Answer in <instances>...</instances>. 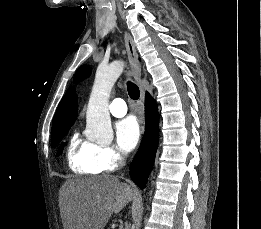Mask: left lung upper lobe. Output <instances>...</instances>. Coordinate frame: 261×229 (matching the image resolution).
Wrapping results in <instances>:
<instances>
[{
  "instance_id": "left-lung-upper-lobe-1",
  "label": "left lung upper lobe",
  "mask_w": 261,
  "mask_h": 229,
  "mask_svg": "<svg viewBox=\"0 0 261 229\" xmlns=\"http://www.w3.org/2000/svg\"><path fill=\"white\" fill-rule=\"evenodd\" d=\"M91 73L90 67L87 65H82L81 67H79V69L77 70L75 77H74V81L75 82H80L83 79L87 78Z\"/></svg>"
}]
</instances>
